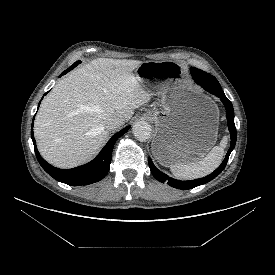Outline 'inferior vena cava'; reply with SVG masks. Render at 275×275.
Wrapping results in <instances>:
<instances>
[{
	"instance_id": "1",
	"label": "inferior vena cava",
	"mask_w": 275,
	"mask_h": 275,
	"mask_svg": "<svg viewBox=\"0 0 275 275\" xmlns=\"http://www.w3.org/2000/svg\"><path fill=\"white\" fill-rule=\"evenodd\" d=\"M125 123V120L120 115H113L110 118H108L106 122V127L109 130H114L119 128L121 125Z\"/></svg>"
}]
</instances>
